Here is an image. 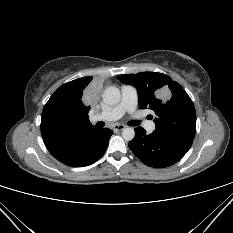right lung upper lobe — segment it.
<instances>
[{
  "label": "right lung upper lobe",
  "mask_w": 233,
  "mask_h": 233,
  "mask_svg": "<svg viewBox=\"0 0 233 233\" xmlns=\"http://www.w3.org/2000/svg\"><path fill=\"white\" fill-rule=\"evenodd\" d=\"M91 76L70 81L59 87L54 94L69 101L74 108V118L67 126L48 130L41 125L42 137L54 136L64 142L72 141L76 136L89 130L96 129L89 121L90 106L85 104L86 93L91 90Z\"/></svg>",
  "instance_id": "right-lung-upper-lobe-1"
}]
</instances>
